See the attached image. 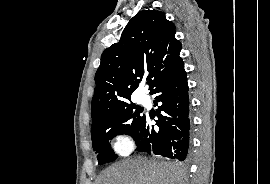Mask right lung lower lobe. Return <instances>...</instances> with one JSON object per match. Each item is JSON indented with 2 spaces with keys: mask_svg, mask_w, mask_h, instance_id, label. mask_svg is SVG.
Wrapping results in <instances>:
<instances>
[{
  "mask_svg": "<svg viewBox=\"0 0 270 184\" xmlns=\"http://www.w3.org/2000/svg\"><path fill=\"white\" fill-rule=\"evenodd\" d=\"M150 94L157 95L154 104H159L158 129H154L145 117L134 137L136 150L185 160L189 148L190 121L188 85L182 60L154 84Z\"/></svg>",
  "mask_w": 270,
  "mask_h": 184,
  "instance_id": "right-lung-lower-lobe-1",
  "label": "right lung lower lobe"
}]
</instances>
